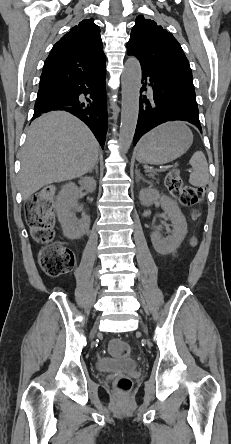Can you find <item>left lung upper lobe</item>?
Returning a JSON list of instances; mask_svg holds the SVG:
<instances>
[{
    "label": "left lung upper lobe",
    "instance_id": "5c2ea615",
    "mask_svg": "<svg viewBox=\"0 0 231 444\" xmlns=\"http://www.w3.org/2000/svg\"><path fill=\"white\" fill-rule=\"evenodd\" d=\"M135 22L127 43L128 54L137 57L142 69L173 76L176 82L194 88L189 62L173 35L143 15Z\"/></svg>",
    "mask_w": 231,
    "mask_h": 444
}]
</instances>
